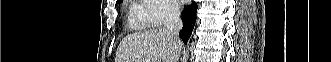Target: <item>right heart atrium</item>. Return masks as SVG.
<instances>
[{
    "label": "right heart atrium",
    "instance_id": "right-heart-atrium-1",
    "mask_svg": "<svg viewBox=\"0 0 331 62\" xmlns=\"http://www.w3.org/2000/svg\"><path fill=\"white\" fill-rule=\"evenodd\" d=\"M140 3L147 13L145 24L149 27H159L179 14V8L170 0H141Z\"/></svg>",
    "mask_w": 331,
    "mask_h": 62
}]
</instances>
